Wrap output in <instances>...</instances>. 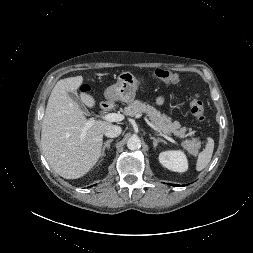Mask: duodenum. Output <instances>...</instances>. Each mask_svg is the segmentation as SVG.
Listing matches in <instances>:
<instances>
[{
	"label": "duodenum",
	"instance_id": "1",
	"mask_svg": "<svg viewBox=\"0 0 253 253\" xmlns=\"http://www.w3.org/2000/svg\"><path fill=\"white\" fill-rule=\"evenodd\" d=\"M102 108H103V109L108 108V104H107V103H103V104H102Z\"/></svg>",
	"mask_w": 253,
	"mask_h": 253
}]
</instances>
